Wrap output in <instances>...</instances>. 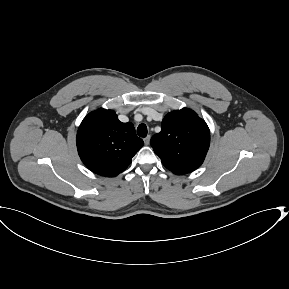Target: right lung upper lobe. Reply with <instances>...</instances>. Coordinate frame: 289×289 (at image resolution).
Returning a JSON list of instances; mask_svg holds the SVG:
<instances>
[{
	"instance_id": "obj_1",
	"label": "right lung upper lobe",
	"mask_w": 289,
	"mask_h": 289,
	"mask_svg": "<svg viewBox=\"0 0 289 289\" xmlns=\"http://www.w3.org/2000/svg\"><path fill=\"white\" fill-rule=\"evenodd\" d=\"M76 143L82 162L92 172L107 177L123 172L144 144L132 123L120 122L114 111L106 109L83 119Z\"/></svg>"
}]
</instances>
